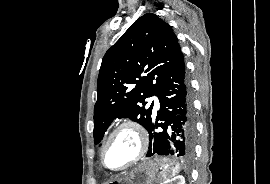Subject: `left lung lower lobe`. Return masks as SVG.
Listing matches in <instances>:
<instances>
[{
	"instance_id": "0a47b994",
	"label": "left lung lower lobe",
	"mask_w": 270,
	"mask_h": 184,
	"mask_svg": "<svg viewBox=\"0 0 270 184\" xmlns=\"http://www.w3.org/2000/svg\"><path fill=\"white\" fill-rule=\"evenodd\" d=\"M157 96L160 110L147 128L150 143L146 156L190 160L194 154L196 129L191 89L182 53L165 76Z\"/></svg>"
}]
</instances>
